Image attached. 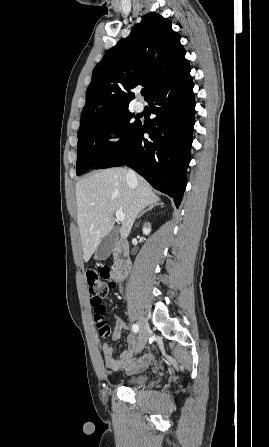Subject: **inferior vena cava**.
<instances>
[{
	"label": "inferior vena cava",
	"mask_w": 269,
	"mask_h": 447,
	"mask_svg": "<svg viewBox=\"0 0 269 447\" xmlns=\"http://www.w3.org/2000/svg\"><path fill=\"white\" fill-rule=\"evenodd\" d=\"M126 178H127L128 182H133V180H137L136 174H135V172H133V170H129V172H127Z\"/></svg>",
	"instance_id": "602c4592"
}]
</instances>
